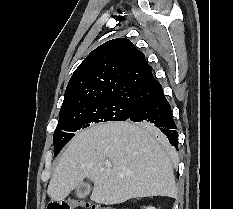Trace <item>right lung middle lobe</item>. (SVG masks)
Here are the masks:
<instances>
[{
  "label": "right lung middle lobe",
  "instance_id": "obj_1",
  "mask_svg": "<svg viewBox=\"0 0 233 209\" xmlns=\"http://www.w3.org/2000/svg\"><path fill=\"white\" fill-rule=\"evenodd\" d=\"M138 107L137 104L120 99H104L78 106L59 115L58 127L53 135L54 156L75 136L79 129L94 123L107 121H125ZM143 127L152 128L141 123Z\"/></svg>",
  "mask_w": 233,
  "mask_h": 209
}]
</instances>
